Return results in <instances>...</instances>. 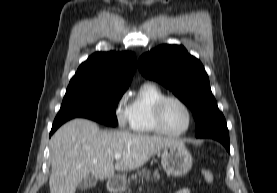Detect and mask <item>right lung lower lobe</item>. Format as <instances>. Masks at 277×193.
I'll use <instances>...</instances> for the list:
<instances>
[{
	"mask_svg": "<svg viewBox=\"0 0 277 193\" xmlns=\"http://www.w3.org/2000/svg\"><path fill=\"white\" fill-rule=\"evenodd\" d=\"M66 121L68 120H64V119H61V120H54V123L52 125V129H51V132H50V136L63 124L65 123Z\"/></svg>",
	"mask_w": 277,
	"mask_h": 193,
	"instance_id": "1",
	"label": "right lung lower lobe"
}]
</instances>
